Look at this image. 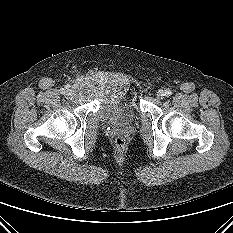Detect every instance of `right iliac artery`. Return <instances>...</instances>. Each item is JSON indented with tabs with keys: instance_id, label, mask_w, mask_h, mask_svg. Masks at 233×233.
<instances>
[{
	"instance_id": "right-iliac-artery-1",
	"label": "right iliac artery",
	"mask_w": 233,
	"mask_h": 233,
	"mask_svg": "<svg viewBox=\"0 0 233 233\" xmlns=\"http://www.w3.org/2000/svg\"><path fill=\"white\" fill-rule=\"evenodd\" d=\"M68 87H69L68 85L65 86L66 89H68ZM65 88H61V89H60V93H61V94H64V93H65Z\"/></svg>"
}]
</instances>
